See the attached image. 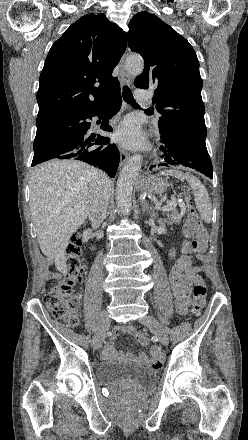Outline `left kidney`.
Instances as JSON below:
<instances>
[{
	"label": "left kidney",
	"mask_w": 248,
	"mask_h": 440,
	"mask_svg": "<svg viewBox=\"0 0 248 440\" xmlns=\"http://www.w3.org/2000/svg\"><path fill=\"white\" fill-rule=\"evenodd\" d=\"M169 256H170V257H174V256H175V251H172V252L169 254Z\"/></svg>",
	"instance_id": "1"
}]
</instances>
